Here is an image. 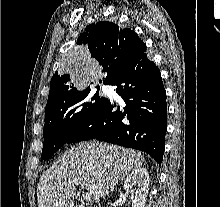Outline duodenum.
Here are the masks:
<instances>
[{"mask_svg": "<svg viewBox=\"0 0 220 207\" xmlns=\"http://www.w3.org/2000/svg\"><path fill=\"white\" fill-rule=\"evenodd\" d=\"M76 207H84V206L79 205V206H76ZM90 207H97V206H90Z\"/></svg>", "mask_w": 220, "mask_h": 207, "instance_id": "1", "label": "duodenum"}]
</instances>
